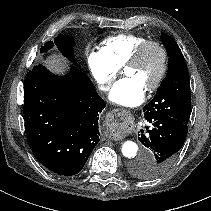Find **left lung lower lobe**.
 Listing matches in <instances>:
<instances>
[{"label":"left lung lower lobe","mask_w":211,"mask_h":211,"mask_svg":"<svg viewBox=\"0 0 211 211\" xmlns=\"http://www.w3.org/2000/svg\"><path fill=\"white\" fill-rule=\"evenodd\" d=\"M152 128L146 127L147 133L138 137L139 141L152 154V159L140 158L133 162V168L144 179H153L166 172L176 160L179 150L183 146L188 126L169 116H158L146 119ZM141 133H144L141 130Z\"/></svg>","instance_id":"obj_1"}]
</instances>
